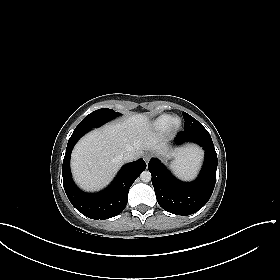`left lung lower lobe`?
<instances>
[{"instance_id": "left-lung-lower-lobe-1", "label": "left lung lower lobe", "mask_w": 280, "mask_h": 280, "mask_svg": "<svg viewBox=\"0 0 280 280\" xmlns=\"http://www.w3.org/2000/svg\"><path fill=\"white\" fill-rule=\"evenodd\" d=\"M184 142H195L205 150L204 165L195 181H179L156 158L148 164L159 205L170 213L182 216L197 212L208 202L214 190L217 170V154L207 130L178 133L175 143Z\"/></svg>"}]
</instances>
